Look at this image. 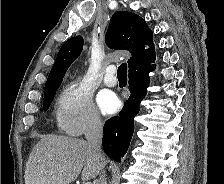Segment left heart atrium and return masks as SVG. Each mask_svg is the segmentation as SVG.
<instances>
[{
    "label": "left heart atrium",
    "mask_w": 224,
    "mask_h": 184,
    "mask_svg": "<svg viewBox=\"0 0 224 184\" xmlns=\"http://www.w3.org/2000/svg\"><path fill=\"white\" fill-rule=\"evenodd\" d=\"M99 106L104 114L115 113L120 106L119 99L113 93H103L99 98Z\"/></svg>",
    "instance_id": "39dd6f15"
}]
</instances>
